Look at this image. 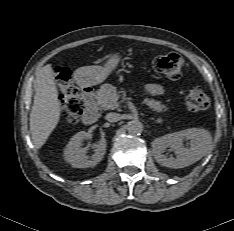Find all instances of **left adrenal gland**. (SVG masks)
Listing matches in <instances>:
<instances>
[{
	"mask_svg": "<svg viewBox=\"0 0 234 231\" xmlns=\"http://www.w3.org/2000/svg\"><path fill=\"white\" fill-rule=\"evenodd\" d=\"M161 121H162L161 119H158V120H156L155 122L160 123Z\"/></svg>",
	"mask_w": 234,
	"mask_h": 231,
	"instance_id": "1",
	"label": "left adrenal gland"
}]
</instances>
